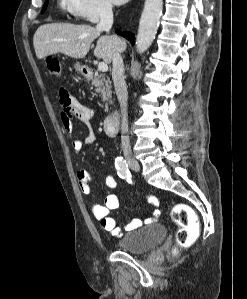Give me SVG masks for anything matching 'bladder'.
<instances>
[{
    "mask_svg": "<svg viewBox=\"0 0 247 299\" xmlns=\"http://www.w3.org/2000/svg\"><path fill=\"white\" fill-rule=\"evenodd\" d=\"M166 236V229L160 223H152L125 234L117 241L120 250L142 254L155 248Z\"/></svg>",
    "mask_w": 247,
    "mask_h": 299,
    "instance_id": "1",
    "label": "bladder"
}]
</instances>
